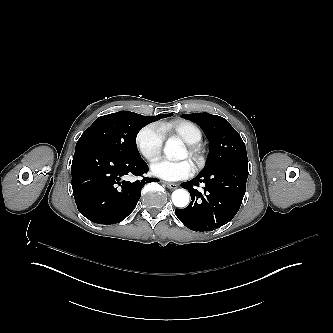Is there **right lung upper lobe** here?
<instances>
[{
  "label": "right lung upper lobe",
  "mask_w": 333,
  "mask_h": 333,
  "mask_svg": "<svg viewBox=\"0 0 333 333\" xmlns=\"http://www.w3.org/2000/svg\"><path fill=\"white\" fill-rule=\"evenodd\" d=\"M150 118L154 120L157 118V116H150Z\"/></svg>",
  "instance_id": "cb5924a9"
}]
</instances>
